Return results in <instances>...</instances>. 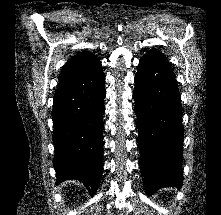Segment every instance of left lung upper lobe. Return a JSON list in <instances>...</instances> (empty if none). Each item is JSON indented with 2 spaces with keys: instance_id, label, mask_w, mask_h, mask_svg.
I'll list each match as a JSON object with an SVG mask.
<instances>
[{
  "instance_id": "5c2ea615",
  "label": "left lung upper lobe",
  "mask_w": 221,
  "mask_h": 215,
  "mask_svg": "<svg viewBox=\"0 0 221 215\" xmlns=\"http://www.w3.org/2000/svg\"><path fill=\"white\" fill-rule=\"evenodd\" d=\"M142 58L165 61L168 63L166 56L161 52H158L156 49L149 50Z\"/></svg>"
}]
</instances>
